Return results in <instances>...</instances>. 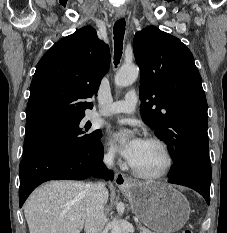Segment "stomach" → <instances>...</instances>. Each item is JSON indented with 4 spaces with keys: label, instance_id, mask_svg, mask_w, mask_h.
<instances>
[{
    "label": "stomach",
    "instance_id": "obj_1",
    "mask_svg": "<svg viewBox=\"0 0 227 233\" xmlns=\"http://www.w3.org/2000/svg\"><path fill=\"white\" fill-rule=\"evenodd\" d=\"M121 190L128 198L133 213L156 233H173L189 219V203L172 185L135 182Z\"/></svg>",
    "mask_w": 227,
    "mask_h": 233
}]
</instances>
